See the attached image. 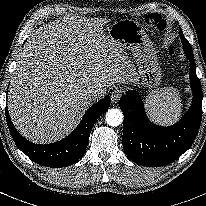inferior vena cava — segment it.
Returning <instances> with one entry per match:
<instances>
[{
	"mask_svg": "<svg viewBox=\"0 0 206 206\" xmlns=\"http://www.w3.org/2000/svg\"><path fill=\"white\" fill-rule=\"evenodd\" d=\"M106 94L105 90H93L89 94V99L93 102L100 100Z\"/></svg>",
	"mask_w": 206,
	"mask_h": 206,
	"instance_id": "1",
	"label": "inferior vena cava"
}]
</instances>
